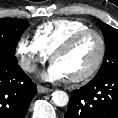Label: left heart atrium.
<instances>
[{
  "instance_id": "obj_1",
  "label": "left heart atrium",
  "mask_w": 118,
  "mask_h": 118,
  "mask_svg": "<svg viewBox=\"0 0 118 118\" xmlns=\"http://www.w3.org/2000/svg\"><path fill=\"white\" fill-rule=\"evenodd\" d=\"M42 78L47 81H61L67 78L65 71L57 64L52 63L46 72L42 75Z\"/></svg>"
}]
</instances>
